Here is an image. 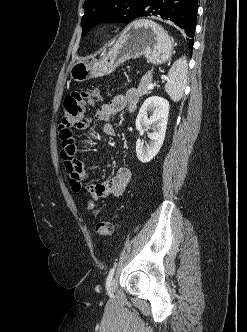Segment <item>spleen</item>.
<instances>
[{"label": "spleen", "instance_id": "1", "mask_svg": "<svg viewBox=\"0 0 247 332\" xmlns=\"http://www.w3.org/2000/svg\"><path fill=\"white\" fill-rule=\"evenodd\" d=\"M187 72L188 66L185 56L177 59L168 72V79L164 88L174 102L179 101L183 96L187 84Z\"/></svg>", "mask_w": 247, "mask_h": 332}]
</instances>
